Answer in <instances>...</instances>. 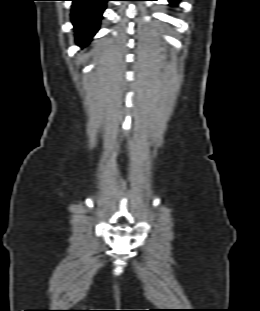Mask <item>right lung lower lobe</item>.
Masks as SVG:
<instances>
[{
  "instance_id": "obj_1",
  "label": "right lung lower lobe",
  "mask_w": 260,
  "mask_h": 311,
  "mask_svg": "<svg viewBox=\"0 0 260 311\" xmlns=\"http://www.w3.org/2000/svg\"><path fill=\"white\" fill-rule=\"evenodd\" d=\"M72 23L76 30V41L79 45H86L97 32L108 0H71Z\"/></svg>"
}]
</instances>
